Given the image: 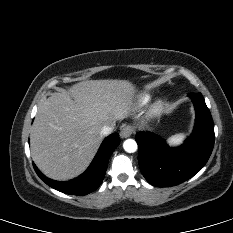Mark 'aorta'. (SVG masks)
<instances>
[{
	"instance_id": "762f6f07",
	"label": "aorta",
	"mask_w": 233,
	"mask_h": 233,
	"mask_svg": "<svg viewBox=\"0 0 233 233\" xmlns=\"http://www.w3.org/2000/svg\"><path fill=\"white\" fill-rule=\"evenodd\" d=\"M123 148L128 153H134L136 152L138 146L135 140L133 139H127L123 143Z\"/></svg>"
}]
</instances>
